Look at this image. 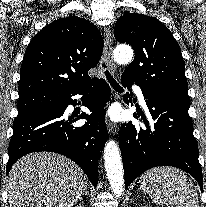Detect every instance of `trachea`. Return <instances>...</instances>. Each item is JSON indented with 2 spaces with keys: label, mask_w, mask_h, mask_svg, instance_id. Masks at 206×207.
I'll return each mask as SVG.
<instances>
[{
  "label": "trachea",
  "mask_w": 206,
  "mask_h": 207,
  "mask_svg": "<svg viewBox=\"0 0 206 207\" xmlns=\"http://www.w3.org/2000/svg\"><path fill=\"white\" fill-rule=\"evenodd\" d=\"M102 67L103 68H106V64L103 63L102 64ZM104 74L106 76V79L107 81L110 83V85L116 90V91H119V92H122L123 91V88L115 81V79L112 77V75L110 74V72L106 69L104 71Z\"/></svg>",
  "instance_id": "3493384b"
}]
</instances>
